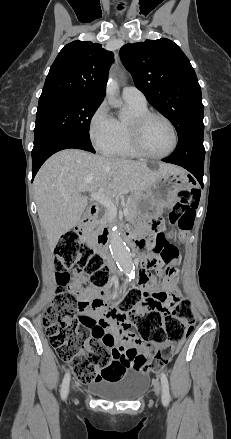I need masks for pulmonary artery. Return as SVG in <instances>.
<instances>
[{
  "instance_id": "1",
  "label": "pulmonary artery",
  "mask_w": 231,
  "mask_h": 439,
  "mask_svg": "<svg viewBox=\"0 0 231 439\" xmlns=\"http://www.w3.org/2000/svg\"><path fill=\"white\" fill-rule=\"evenodd\" d=\"M123 98L128 102H134L138 104H146V97L142 91L135 86H126L122 91Z\"/></svg>"
}]
</instances>
